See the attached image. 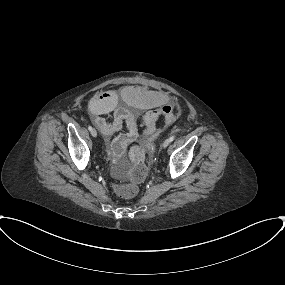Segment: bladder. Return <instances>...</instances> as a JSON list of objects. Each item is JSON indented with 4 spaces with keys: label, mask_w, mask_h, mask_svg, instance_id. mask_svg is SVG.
Masks as SVG:
<instances>
[{
    "label": "bladder",
    "mask_w": 285,
    "mask_h": 285,
    "mask_svg": "<svg viewBox=\"0 0 285 285\" xmlns=\"http://www.w3.org/2000/svg\"><path fill=\"white\" fill-rule=\"evenodd\" d=\"M120 99L123 100V101L126 99L125 90H122V91L120 92Z\"/></svg>",
    "instance_id": "bladder-1"
}]
</instances>
